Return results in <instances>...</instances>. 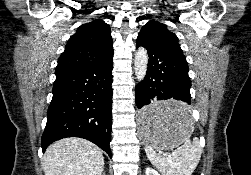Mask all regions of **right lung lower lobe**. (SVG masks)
Returning <instances> with one entry per match:
<instances>
[{"label": "right lung lower lobe", "mask_w": 251, "mask_h": 175, "mask_svg": "<svg viewBox=\"0 0 251 175\" xmlns=\"http://www.w3.org/2000/svg\"><path fill=\"white\" fill-rule=\"evenodd\" d=\"M112 69L110 58L56 74L53 98L42 135V149L66 137L87 139L111 157Z\"/></svg>", "instance_id": "right-lung-lower-lobe-1"}]
</instances>
